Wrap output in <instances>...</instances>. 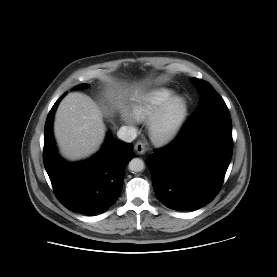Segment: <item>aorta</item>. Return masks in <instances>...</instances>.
I'll use <instances>...</instances> for the list:
<instances>
[{"mask_svg":"<svg viewBox=\"0 0 277 277\" xmlns=\"http://www.w3.org/2000/svg\"><path fill=\"white\" fill-rule=\"evenodd\" d=\"M144 168H145L144 162L140 158H133L129 162V170L133 173L141 172L142 170H144Z\"/></svg>","mask_w":277,"mask_h":277,"instance_id":"1","label":"aorta"}]
</instances>
